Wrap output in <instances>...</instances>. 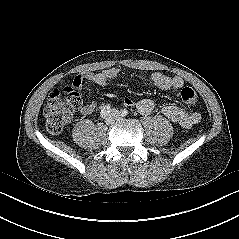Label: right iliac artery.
<instances>
[{"instance_id": "82829eb1", "label": "right iliac artery", "mask_w": 239, "mask_h": 239, "mask_svg": "<svg viewBox=\"0 0 239 239\" xmlns=\"http://www.w3.org/2000/svg\"><path fill=\"white\" fill-rule=\"evenodd\" d=\"M109 112H110V105L108 104V105H105V106L102 107L101 112H100V116L103 119H105L108 116Z\"/></svg>"}]
</instances>
